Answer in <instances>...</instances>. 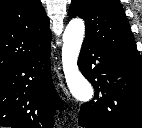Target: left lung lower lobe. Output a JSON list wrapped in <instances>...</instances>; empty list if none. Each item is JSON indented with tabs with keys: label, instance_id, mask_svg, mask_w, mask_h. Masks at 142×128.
<instances>
[{
	"label": "left lung lower lobe",
	"instance_id": "left-lung-lower-lobe-1",
	"mask_svg": "<svg viewBox=\"0 0 142 128\" xmlns=\"http://www.w3.org/2000/svg\"><path fill=\"white\" fill-rule=\"evenodd\" d=\"M78 66L95 89L79 113L83 128H142V64L84 39Z\"/></svg>",
	"mask_w": 142,
	"mask_h": 128
}]
</instances>
